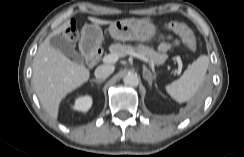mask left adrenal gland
Listing matches in <instances>:
<instances>
[{
  "mask_svg": "<svg viewBox=\"0 0 244 157\" xmlns=\"http://www.w3.org/2000/svg\"><path fill=\"white\" fill-rule=\"evenodd\" d=\"M143 78L148 81V84L151 87L156 79V75H152L151 71L147 69L146 66H143Z\"/></svg>",
  "mask_w": 244,
  "mask_h": 157,
  "instance_id": "left-adrenal-gland-1",
  "label": "left adrenal gland"
}]
</instances>
